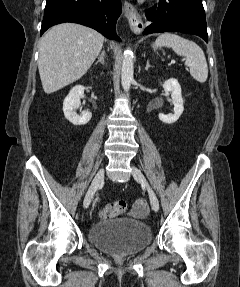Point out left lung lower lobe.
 Here are the masks:
<instances>
[{
	"mask_svg": "<svg viewBox=\"0 0 240 287\" xmlns=\"http://www.w3.org/2000/svg\"><path fill=\"white\" fill-rule=\"evenodd\" d=\"M149 26L144 34L183 32L198 35L208 42L207 25L202 0H160L145 11Z\"/></svg>",
	"mask_w": 240,
	"mask_h": 287,
	"instance_id": "1",
	"label": "left lung lower lobe"
}]
</instances>
